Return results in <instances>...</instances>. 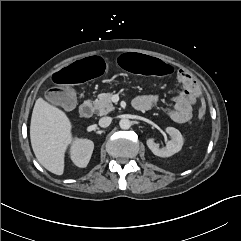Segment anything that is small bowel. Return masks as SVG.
Returning a JSON list of instances; mask_svg holds the SVG:
<instances>
[{"label":"small bowel","mask_w":241,"mask_h":241,"mask_svg":"<svg viewBox=\"0 0 241 241\" xmlns=\"http://www.w3.org/2000/svg\"><path fill=\"white\" fill-rule=\"evenodd\" d=\"M177 79L183 85V91L174 97V108L170 110V117L179 124L187 123L192 117V107L200 96V86L195 77L184 69H179ZM159 97L155 94L139 96L134 103H141L145 109H151Z\"/></svg>","instance_id":"1"}]
</instances>
